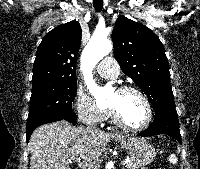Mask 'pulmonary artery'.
<instances>
[{
    "mask_svg": "<svg viewBox=\"0 0 200 169\" xmlns=\"http://www.w3.org/2000/svg\"><path fill=\"white\" fill-rule=\"evenodd\" d=\"M97 72L101 77L114 79L119 74V65L114 58L106 57L99 63Z\"/></svg>",
    "mask_w": 200,
    "mask_h": 169,
    "instance_id": "pulmonary-artery-1",
    "label": "pulmonary artery"
}]
</instances>
